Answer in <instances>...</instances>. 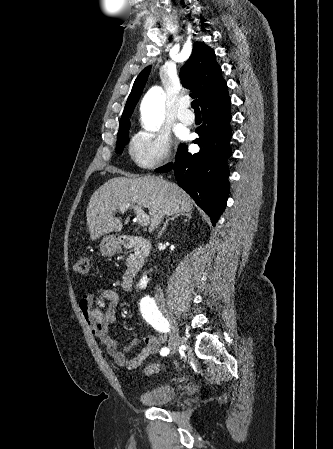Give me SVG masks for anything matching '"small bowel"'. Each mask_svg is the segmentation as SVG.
<instances>
[{"instance_id":"small-bowel-1","label":"small bowel","mask_w":333,"mask_h":449,"mask_svg":"<svg viewBox=\"0 0 333 449\" xmlns=\"http://www.w3.org/2000/svg\"><path fill=\"white\" fill-rule=\"evenodd\" d=\"M119 303L120 297L115 290L110 288L92 289L80 299L79 308L92 334L104 344L114 363L132 370L139 367L159 349L160 339L152 335H133L131 342L120 349L117 340L110 335V328L116 323ZM140 341L144 342V346L135 357L128 359L127 353Z\"/></svg>"}]
</instances>
